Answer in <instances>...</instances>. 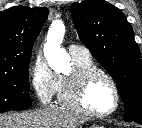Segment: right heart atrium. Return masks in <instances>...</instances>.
Segmentation results:
<instances>
[{"label": "right heart atrium", "mask_w": 142, "mask_h": 128, "mask_svg": "<svg viewBox=\"0 0 142 128\" xmlns=\"http://www.w3.org/2000/svg\"><path fill=\"white\" fill-rule=\"evenodd\" d=\"M29 79L38 101L42 105L50 104L57 93L59 77L40 54L35 56L30 65Z\"/></svg>", "instance_id": "right-heart-atrium-1"}]
</instances>
